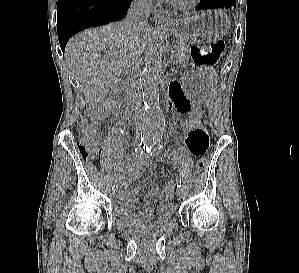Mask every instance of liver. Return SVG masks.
Returning <instances> with one entry per match:
<instances>
[{"mask_svg":"<svg viewBox=\"0 0 299 273\" xmlns=\"http://www.w3.org/2000/svg\"><path fill=\"white\" fill-rule=\"evenodd\" d=\"M150 38L149 26L134 32L125 20L86 30L68 42L66 61L80 83L87 110L105 99L126 70L131 54L140 56Z\"/></svg>","mask_w":299,"mask_h":273,"instance_id":"1","label":"liver"}]
</instances>
